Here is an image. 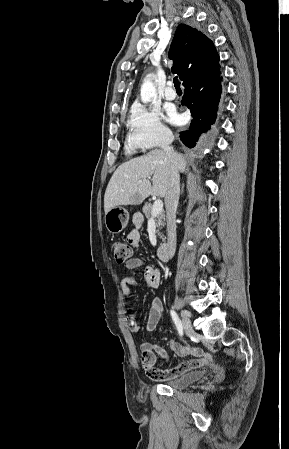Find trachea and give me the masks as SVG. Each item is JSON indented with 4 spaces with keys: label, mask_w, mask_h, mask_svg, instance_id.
<instances>
[{
    "label": "trachea",
    "mask_w": 289,
    "mask_h": 449,
    "mask_svg": "<svg viewBox=\"0 0 289 449\" xmlns=\"http://www.w3.org/2000/svg\"><path fill=\"white\" fill-rule=\"evenodd\" d=\"M173 82H174L175 88H176V89H180V82L178 81L177 77H175V78L173 79Z\"/></svg>",
    "instance_id": "1"
}]
</instances>
